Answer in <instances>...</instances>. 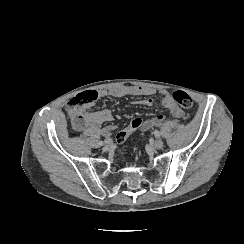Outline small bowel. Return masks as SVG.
Returning a JSON list of instances; mask_svg holds the SVG:
<instances>
[{
	"label": "small bowel",
	"mask_w": 244,
	"mask_h": 244,
	"mask_svg": "<svg viewBox=\"0 0 244 244\" xmlns=\"http://www.w3.org/2000/svg\"><path fill=\"white\" fill-rule=\"evenodd\" d=\"M97 93V92H96ZM98 97L101 98H121L126 96H146L144 99L137 100L136 103L151 106L154 100L151 96L159 94L161 97V105L165 108L171 117L182 119L186 116L183 109L178 107L172 100L170 93L167 90H156L149 87H138V86H117L109 89H102L98 93ZM86 114L87 128L97 129L103 123H110L112 121V114L109 110H102L96 112L88 111V106L81 107ZM133 120V119H132ZM164 122V117L162 115H156L152 118L144 120V123L139 126L137 130H150L152 128L158 127ZM116 130V126L109 124L104 128V131L111 133ZM136 130V131H137Z\"/></svg>",
	"instance_id": "c3829d8e"
}]
</instances>
